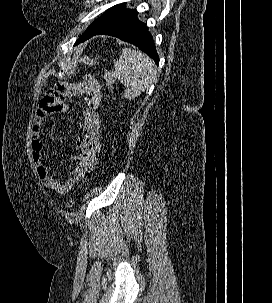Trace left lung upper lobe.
<instances>
[{
    "instance_id": "left-lung-upper-lobe-1",
    "label": "left lung upper lobe",
    "mask_w": 272,
    "mask_h": 303,
    "mask_svg": "<svg viewBox=\"0 0 272 303\" xmlns=\"http://www.w3.org/2000/svg\"><path fill=\"white\" fill-rule=\"evenodd\" d=\"M126 10L124 8V4H119V5H116V6H113L112 8L106 10V12L100 16L98 19H96L88 28L85 32L89 31L90 29H92L94 26H96L98 23H100L101 21H103L104 19L110 17V16H113L121 11H124Z\"/></svg>"
}]
</instances>
